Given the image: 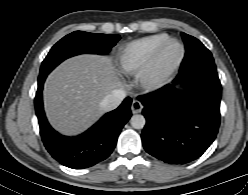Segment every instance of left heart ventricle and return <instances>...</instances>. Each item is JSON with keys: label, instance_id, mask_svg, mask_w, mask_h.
<instances>
[{"label": "left heart ventricle", "instance_id": "b2bd125f", "mask_svg": "<svg viewBox=\"0 0 248 195\" xmlns=\"http://www.w3.org/2000/svg\"><path fill=\"white\" fill-rule=\"evenodd\" d=\"M180 46L177 43H172L165 51L162 57V68H167L173 65L180 56Z\"/></svg>", "mask_w": 248, "mask_h": 195}]
</instances>
